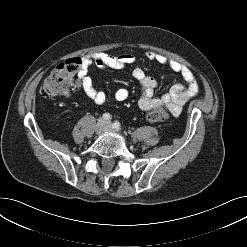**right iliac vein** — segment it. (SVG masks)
Wrapping results in <instances>:
<instances>
[{
    "label": "right iliac vein",
    "instance_id": "1",
    "mask_svg": "<svg viewBox=\"0 0 247 247\" xmlns=\"http://www.w3.org/2000/svg\"><path fill=\"white\" fill-rule=\"evenodd\" d=\"M106 129V123L103 119H99L97 124H96V127H95V132L97 134H100L102 133L104 130Z\"/></svg>",
    "mask_w": 247,
    "mask_h": 247
}]
</instances>
